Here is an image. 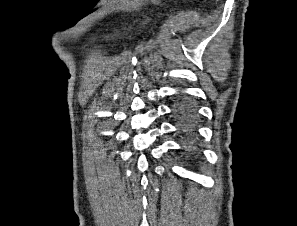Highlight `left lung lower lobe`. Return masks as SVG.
Masks as SVG:
<instances>
[{
  "mask_svg": "<svg viewBox=\"0 0 297 226\" xmlns=\"http://www.w3.org/2000/svg\"><path fill=\"white\" fill-rule=\"evenodd\" d=\"M173 109L174 114L178 119L179 128L184 136L189 139L193 138L197 118L196 108L193 103L182 97L174 105Z\"/></svg>",
  "mask_w": 297,
  "mask_h": 226,
  "instance_id": "0a47b994",
  "label": "left lung lower lobe"
}]
</instances>
